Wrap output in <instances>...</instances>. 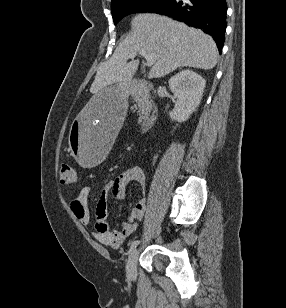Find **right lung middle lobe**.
Here are the masks:
<instances>
[{"instance_id":"obj_1","label":"right lung middle lobe","mask_w":286,"mask_h":308,"mask_svg":"<svg viewBox=\"0 0 286 308\" xmlns=\"http://www.w3.org/2000/svg\"><path fill=\"white\" fill-rule=\"evenodd\" d=\"M168 0H119L111 5L114 23L131 13L154 12Z\"/></svg>"}]
</instances>
